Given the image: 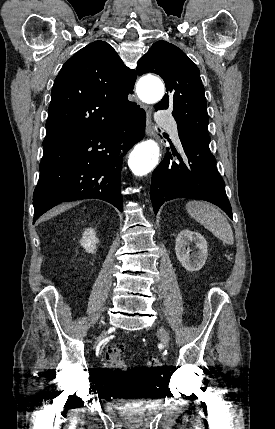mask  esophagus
<instances>
[{"label": "esophagus", "mask_w": 275, "mask_h": 429, "mask_svg": "<svg viewBox=\"0 0 275 429\" xmlns=\"http://www.w3.org/2000/svg\"><path fill=\"white\" fill-rule=\"evenodd\" d=\"M146 112V134L150 137L155 136V127L152 122V109L148 105H143Z\"/></svg>", "instance_id": "obj_1"}]
</instances>
